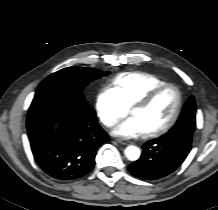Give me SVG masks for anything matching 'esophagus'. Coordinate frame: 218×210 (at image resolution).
Listing matches in <instances>:
<instances>
[{"instance_id": "34e87169", "label": "esophagus", "mask_w": 218, "mask_h": 210, "mask_svg": "<svg viewBox=\"0 0 218 210\" xmlns=\"http://www.w3.org/2000/svg\"><path fill=\"white\" fill-rule=\"evenodd\" d=\"M117 142L120 143V144H123V145H129L130 144V141H126V140H123V139H117Z\"/></svg>"}]
</instances>
